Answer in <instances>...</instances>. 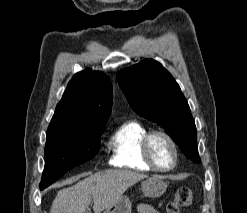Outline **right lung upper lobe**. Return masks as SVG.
Listing matches in <instances>:
<instances>
[{
	"label": "right lung upper lobe",
	"mask_w": 247,
	"mask_h": 213,
	"mask_svg": "<svg viewBox=\"0 0 247 213\" xmlns=\"http://www.w3.org/2000/svg\"><path fill=\"white\" fill-rule=\"evenodd\" d=\"M112 107V84L102 72L86 69L69 82L48 128L85 129L105 125Z\"/></svg>",
	"instance_id": "obj_1"
}]
</instances>
